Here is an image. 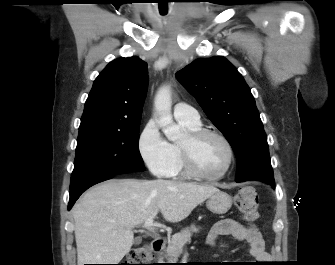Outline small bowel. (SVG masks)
<instances>
[{
	"label": "small bowel",
	"mask_w": 335,
	"mask_h": 265,
	"mask_svg": "<svg viewBox=\"0 0 335 265\" xmlns=\"http://www.w3.org/2000/svg\"><path fill=\"white\" fill-rule=\"evenodd\" d=\"M221 236H232L238 241L246 242L250 256L259 263L268 260L265 242L258 229L246 227L236 220L226 218L213 225L207 235L206 242L210 246H215L217 239Z\"/></svg>",
	"instance_id": "small-bowel-1"
}]
</instances>
